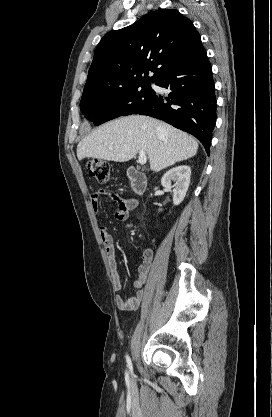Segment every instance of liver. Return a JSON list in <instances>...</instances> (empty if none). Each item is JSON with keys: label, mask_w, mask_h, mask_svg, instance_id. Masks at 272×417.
<instances>
[{"label": "liver", "mask_w": 272, "mask_h": 417, "mask_svg": "<svg viewBox=\"0 0 272 417\" xmlns=\"http://www.w3.org/2000/svg\"><path fill=\"white\" fill-rule=\"evenodd\" d=\"M197 150L198 142L187 133L148 116L130 115L93 130L79 142L77 157L126 162L144 151L151 170L160 171L193 157Z\"/></svg>", "instance_id": "6515ba94"}]
</instances>
